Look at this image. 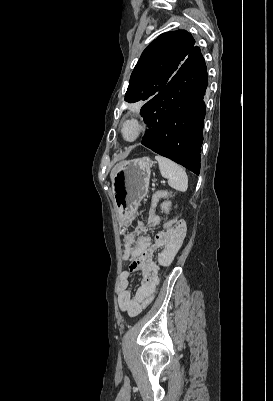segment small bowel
I'll list each match as a JSON object with an SVG mask.
<instances>
[{
  "instance_id": "c3829d8e",
  "label": "small bowel",
  "mask_w": 273,
  "mask_h": 401,
  "mask_svg": "<svg viewBox=\"0 0 273 401\" xmlns=\"http://www.w3.org/2000/svg\"><path fill=\"white\" fill-rule=\"evenodd\" d=\"M148 224L156 227L159 218L148 215ZM142 228L137 227L128 232L124 239V259L129 261V267L120 275L117 286V302L121 311L131 317L139 315L154 299L159 281V267L153 260L154 253L162 248L159 254V263L169 265L182 245V241H161L159 234L152 241L148 235H141ZM141 271H152L153 284H139L135 292L130 289L131 281L140 276Z\"/></svg>"
}]
</instances>
